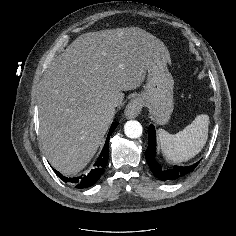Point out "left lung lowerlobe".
I'll return each mask as SVG.
<instances>
[{
	"label": "left lung lower lobe",
	"mask_w": 236,
	"mask_h": 236,
	"mask_svg": "<svg viewBox=\"0 0 236 236\" xmlns=\"http://www.w3.org/2000/svg\"><path fill=\"white\" fill-rule=\"evenodd\" d=\"M146 161L152 173L161 181H176L192 172L199 162L190 166H173L165 168L156 159V133L153 125L149 126L148 148L146 150Z\"/></svg>",
	"instance_id": "1"
}]
</instances>
